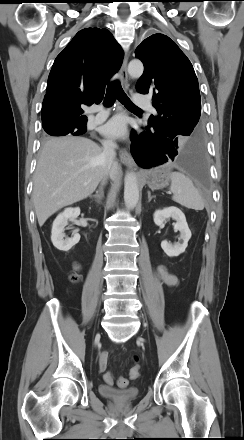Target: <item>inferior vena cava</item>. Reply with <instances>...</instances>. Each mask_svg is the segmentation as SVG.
<instances>
[{
  "mask_svg": "<svg viewBox=\"0 0 244 440\" xmlns=\"http://www.w3.org/2000/svg\"><path fill=\"white\" fill-rule=\"evenodd\" d=\"M116 148H117V145L112 140H106L103 142L102 158H103V166H104L105 173L102 178V184H105L107 176L110 171V168H111L113 161L116 157V152H115Z\"/></svg>",
  "mask_w": 244,
  "mask_h": 440,
  "instance_id": "1",
  "label": "inferior vena cava"
}]
</instances>
